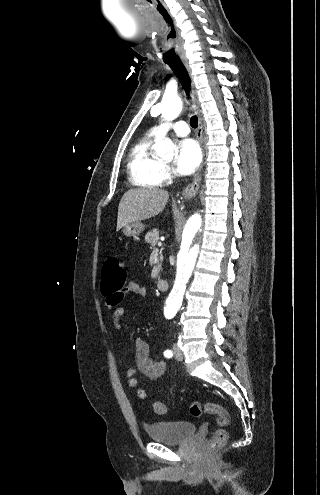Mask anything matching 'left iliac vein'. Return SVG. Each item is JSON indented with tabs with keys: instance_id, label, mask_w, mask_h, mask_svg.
<instances>
[{
	"instance_id": "1",
	"label": "left iliac vein",
	"mask_w": 320,
	"mask_h": 495,
	"mask_svg": "<svg viewBox=\"0 0 320 495\" xmlns=\"http://www.w3.org/2000/svg\"><path fill=\"white\" fill-rule=\"evenodd\" d=\"M173 353H174L176 360H178V361L183 360V352L181 351V349L179 348V346L177 344L173 345Z\"/></svg>"
}]
</instances>
